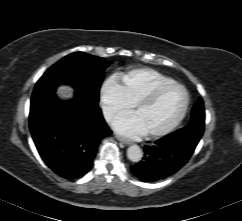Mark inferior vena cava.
Segmentation results:
<instances>
[{
  "label": "inferior vena cava",
  "instance_id": "obj_1",
  "mask_svg": "<svg viewBox=\"0 0 242 221\" xmlns=\"http://www.w3.org/2000/svg\"><path fill=\"white\" fill-rule=\"evenodd\" d=\"M105 119L110 122L114 117V110L109 106H104L102 108Z\"/></svg>",
  "mask_w": 242,
  "mask_h": 221
}]
</instances>
